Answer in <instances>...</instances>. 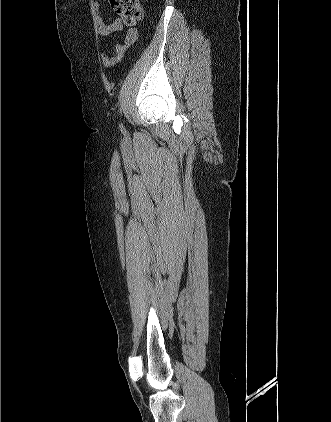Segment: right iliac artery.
Segmentation results:
<instances>
[{
    "label": "right iliac artery",
    "mask_w": 331,
    "mask_h": 422,
    "mask_svg": "<svg viewBox=\"0 0 331 422\" xmlns=\"http://www.w3.org/2000/svg\"><path fill=\"white\" fill-rule=\"evenodd\" d=\"M120 128L122 129V128H123V126H122V125H120Z\"/></svg>",
    "instance_id": "82829eb1"
}]
</instances>
